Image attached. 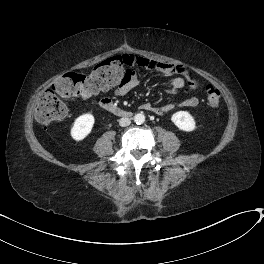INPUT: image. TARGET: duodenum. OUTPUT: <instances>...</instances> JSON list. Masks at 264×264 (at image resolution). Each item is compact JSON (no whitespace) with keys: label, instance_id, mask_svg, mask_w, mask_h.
Segmentation results:
<instances>
[{"label":"duodenum","instance_id":"1","mask_svg":"<svg viewBox=\"0 0 264 264\" xmlns=\"http://www.w3.org/2000/svg\"><path fill=\"white\" fill-rule=\"evenodd\" d=\"M99 106L106 110V111H109L113 114H116L118 116H128L129 115V111L122 108V107H119L117 105H115L111 100L109 99H102L100 100L99 102Z\"/></svg>","mask_w":264,"mask_h":264}]
</instances>
